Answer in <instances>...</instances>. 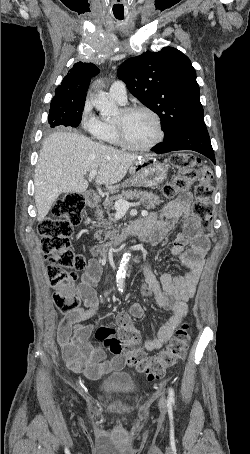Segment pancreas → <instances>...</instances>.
<instances>
[{"label":"pancreas","instance_id":"cf45deb5","mask_svg":"<svg viewBox=\"0 0 250 454\" xmlns=\"http://www.w3.org/2000/svg\"><path fill=\"white\" fill-rule=\"evenodd\" d=\"M133 199V198H140L142 201H145L147 203V209H154L156 208L157 205H159L160 201L157 196H155L152 193L148 192H140V191H126L123 192L122 194L115 196L114 198H107L103 202V208L97 207V212H98V221L99 225H104L107 227L108 230L105 231V239H114L116 237V233L118 232L116 229L112 227V224L114 222V219L111 214V210L114 209L113 207V200H118V199ZM106 212L108 214V219H105L103 214ZM152 216H155L154 214ZM102 234V231L98 232L95 234V238L100 239V235Z\"/></svg>","mask_w":250,"mask_h":454}]
</instances>
